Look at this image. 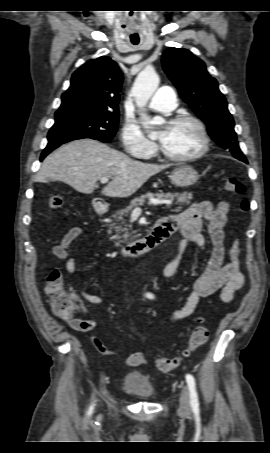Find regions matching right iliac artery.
Segmentation results:
<instances>
[{"label":"right iliac artery","mask_w":270,"mask_h":453,"mask_svg":"<svg viewBox=\"0 0 270 453\" xmlns=\"http://www.w3.org/2000/svg\"><path fill=\"white\" fill-rule=\"evenodd\" d=\"M92 408H93V406H91V407H90V409H89V412H91V411H92Z\"/></svg>","instance_id":"right-iliac-artery-1"}]
</instances>
